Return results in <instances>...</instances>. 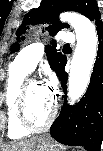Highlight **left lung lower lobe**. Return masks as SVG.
Masks as SVG:
<instances>
[{
  "mask_svg": "<svg viewBox=\"0 0 103 151\" xmlns=\"http://www.w3.org/2000/svg\"><path fill=\"white\" fill-rule=\"evenodd\" d=\"M97 34L98 53L85 96L72 107L65 101L50 128L51 136L57 141L84 146L87 151H99L103 139V29H97ZM65 64L57 76L66 92L68 75L64 70Z\"/></svg>",
  "mask_w": 103,
  "mask_h": 151,
  "instance_id": "obj_1",
  "label": "left lung lower lobe"
}]
</instances>
